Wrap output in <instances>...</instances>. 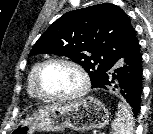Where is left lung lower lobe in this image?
<instances>
[{
	"instance_id": "1",
	"label": "left lung lower lobe",
	"mask_w": 153,
	"mask_h": 134,
	"mask_svg": "<svg viewBox=\"0 0 153 134\" xmlns=\"http://www.w3.org/2000/svg\"><path fill=\"white\" fill-rule=\"evenodd\" d=\"M142 72V55L138 48L119 61L92 88H113L131 106L134 116L137 117L140 111Z\"/></svg>"
}]
</instances>
